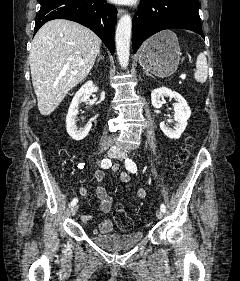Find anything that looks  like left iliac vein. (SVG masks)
<instances>
[{
    "label": "left iliac vein",
    "instance_id": "1",
    "mask_svg": "<svg viewBox=\"0 0 240 281\" xmlns=\"http://www.w3.org/2000/svg\"><path fill=\"white\" fill-rule=\"evenodd\" d=\"M114 157L123 161L127 158V154L124 150H119ZM156 217L158 219H162L163 218V212L161 210H157Z\"/></svg>",
    "mask_w": 240,
    "mask_h": 281
}]
</instances>
